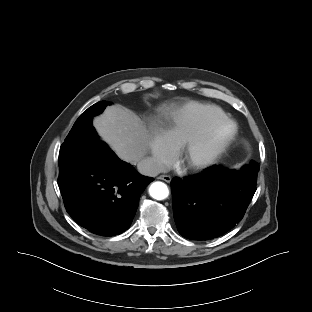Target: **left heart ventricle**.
I'll return each mask as SVG.
<instances>
[{
    "label": "left heart ventricle",
    "mask_w": 312,
    "mask_h": 312,
    "mask_svg": "<svg viewBox=\"0 0 312 312\" xmlns=\"http://www.w3.org/2000/svg\"><path fill=\"white\" fill-rule=\"evenodd\" d=\"M206 150V147H200L197 149L194 154L192 155L191 159H197L199 158Z\"/></svg>",
    "instance_id": "b2bd125f"
}]
</instances>
